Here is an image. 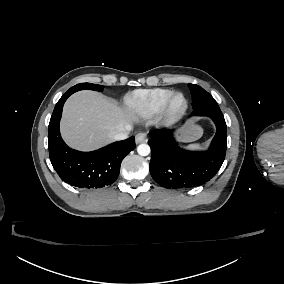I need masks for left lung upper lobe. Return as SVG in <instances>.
Masks as SVG:
<instances>
[{
  "instance_id": "obj_1",
  "label": "left lung upper lobe",
  "mask_w": 284,
  "mask_h": 284,
  "mask_svg": "<svg viewBox=\"0 0 284 284\" xmlns=\"http://www.w3.org/2000/svg\"><path fill=\"white\" fill-rule=\"evenodd\" d=\"M188 87L192 95L193 109L207 104H217L215 99L200 86L195 84H188Z\"/></svg>"
}]
</instances>
